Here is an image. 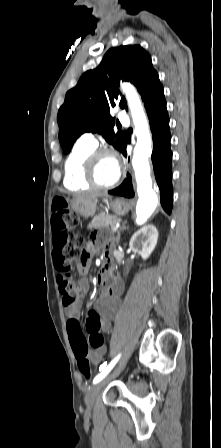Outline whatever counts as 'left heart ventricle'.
I'll list each match as a JSON object with an SVG mask.
<instances>
[{"instance_id":"obj_1","label":"left heart ventricle","mask_w":221,"mask_h":448,"mask_svg":"<svg viewBox=\"0 0 221 448\" xmlns=\"http://www.w3.org/2000/svg\"><path fill=\"white\" fill-rule=\"evenodd\" d=\"M118 174V164L109 155L100 156L96 161L95 175L101 184H109L114 181Z\"/></svg>"}]
</instances>
